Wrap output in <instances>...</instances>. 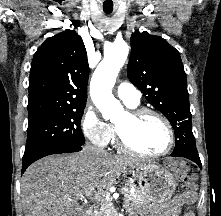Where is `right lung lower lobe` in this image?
Here are the masks:
<instances>
[{"instance_id": "obj_1", "label": "right lung lower lobe", "mask_w": 221, "mask_h": 216, "mask_svg": "<svg viewBox=\"0 0 221 216\" xmlns=\"http://www.w3.org/2000/svg\"><path fill=\"white\" fill-rule=\"evenodd\" d=\"M81 150H82V146L72 145V146H63V147H59V148L47 151L46 153L41 154L40 156H38L37 158H35L33 160L23 162V164H22V173H24V171L27 169V167L30 164H32L36 160H38V159H40L42 157H45L47 155L78 152V151H81Z\"/></svg>"}]
</instances>
